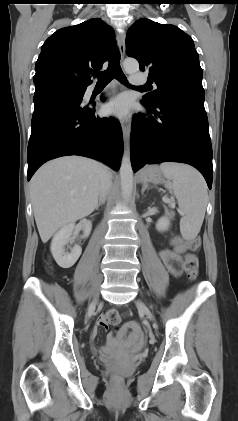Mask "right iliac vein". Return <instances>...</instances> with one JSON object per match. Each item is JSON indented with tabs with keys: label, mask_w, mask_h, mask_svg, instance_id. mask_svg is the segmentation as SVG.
Listing matches in <instances>:
<instances>
[{
	"label": "right iliac vein",
	"mask_w": 238,
	"mask_h": 421,
	"mask_svg": "<svg viewBox=\"0 0 238 421\" xmlns=\"http://www.w3.org/2000/svg\"><path fill=\"white\" fill-rule=\"evenodd\" d=\"M97 301H98V297L96 296L89 306V312L90 313L94 311V309L96 307V304H97Z\"/></svg>",
	"instance_id": "1"
}]
</instances>
